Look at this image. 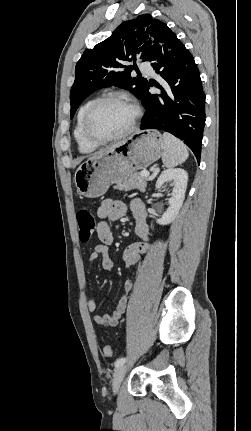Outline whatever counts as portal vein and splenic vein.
<instances>
[{
	"label": "portal vein and splenic vein",
	"instance_id": "18ae733b",
	"mask_svg": "<svg viewBox=\"0 0 251 431\" xmlns=\"http://www.w3.org/2000/svg\"><path fill=\"white\" fill-rule=\"evenodd\" d=\"M141 175L148 178L150 174L149 172L143 171L141 172Z\"/></svg>",
	"mask_w": 251,
	"mask_h": 431
}]
</instances>
